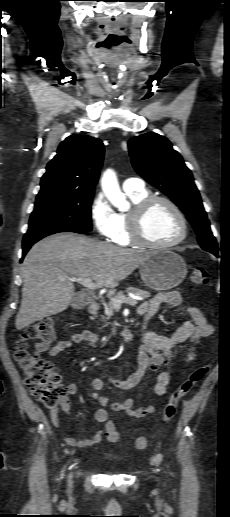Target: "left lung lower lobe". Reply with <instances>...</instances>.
Here are the masks:
<instances>
[{
	"label": "left lung lower lobe",
	"mask_w": 230,
	"mask_h": 517,
	"mask_svg": "<svg viewBox=\"0 0 230 517\" xmlns=\"http://www.w3.org/2000/svg\"><path fill=\"white\" fill-rule=\"evenodd\" d=\"M215 256H218V251L213 252Z\"/></svg>",
	"instance_id": "0a47b994"
}]
</instances>
